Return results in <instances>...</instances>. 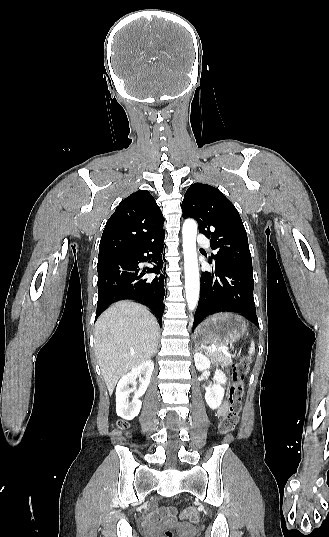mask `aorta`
Returning <instances> with one entry per match:
<instances>
[{"label":"aorta","instance_id":"1","mask_svg":"<svg viewBox=\"0 0 329 537\" xmlns=\"http://www.w3.org/2000/svg\"><path fill=\"white\" fill-rule=\"evenodd\" d=\"M197 223L186 219L182 228L185 270V293L189 310L197 307L200 291V276L196 250Z\"/></svg>","mask_w":329,"mask_h":537}]
</instances>
